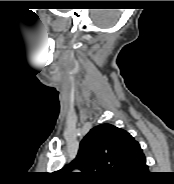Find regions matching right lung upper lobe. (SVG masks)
Wrapping results in <instances>:
<instances>
[{
	"instance_id": "obj_1",
	"label": "right lung upper lobe",
	"mask_w": 174,
	"mask_h": 184,
	"mask_svg": "<svg viewBox=\"0 0 174 184\" xmlns=\"http://www.w3.org/2000/svg\"><path fill=\"white\" fill-rule=\"evenodd\" d=\"M143 158L140 145L127 131L111 124H101L89 131L80 143L75 160L58 174L65 181L118 182ZM75 168L82 172L70 173Z\"/></svg>"
}]
</instances>
